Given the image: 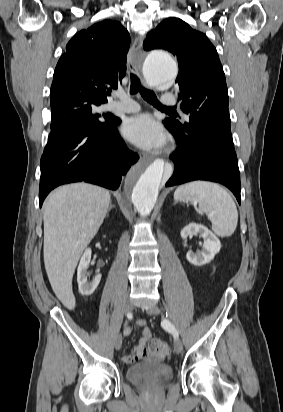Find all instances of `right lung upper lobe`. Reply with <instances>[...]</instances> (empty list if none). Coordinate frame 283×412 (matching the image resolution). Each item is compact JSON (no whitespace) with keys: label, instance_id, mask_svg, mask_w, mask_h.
Wrapping results in <instances>:
<instances>
[{"label":"right lung upper lobe","instance_id":"cb5924a9","mask_svg":"<svg viewBox=\"0 0 283 412\" xmlns=\"http://www.w3.org/2000/svg\"><path fill=\"white\" fill-rule=\"evenodd\" d=\"M128 31L104 20L78 32L58 61L51 86L52 115L79 102L106 103L126 72Z\"/></svg>","mask_w":283,"mask_h":412}]
</instances>
